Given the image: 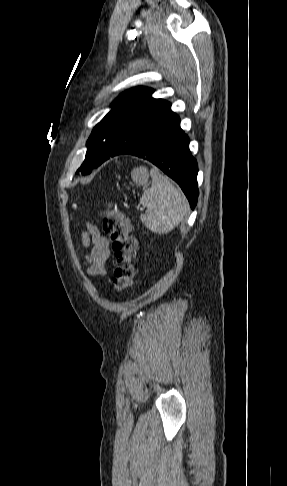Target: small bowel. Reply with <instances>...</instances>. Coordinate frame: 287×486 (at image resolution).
<instances>
[{"mask_svg":"<svg viewBox=\"0 0 287 486\" xmlns=\"http://www.w3.org/2000/svg\"><path fill=\"white\" fill-rule=\"evenodd\" d=\"M82 245L90 247V252L85 257V271L91 276H104L107 273V262L111 258L109 241L102 236L98 228L85 222L82 230Z\"/></svg>","mask_w":287,"mask_h":486,"instance_id":"c3829d8e","label":"small bowel"}]
</instances>
